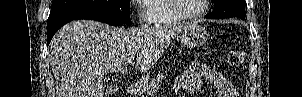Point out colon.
<instances>
[{"instance_id": "1", "label": "colon", "mask_w": 302, "mask_h": 97, "mask_svg": "<svg viewBox=\"0 0 302 97\" xmlns=\"http://www.w3.org/2000/svg\"><path fill=\"white\" fill-rule=\"evenodd\" d=\"M246 54L243 50H231L228 54V62L230 65L237 66L244 62Z\"/></svg>"}]
</instances>
